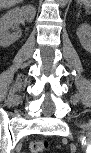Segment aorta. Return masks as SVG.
I'll use <instances>...</instances> for the list:
<instances>
[{
	"label": "aorta",
	"instance_id": "obj_1",
	"mask_svg": "<svg viewBox=\"0 0 91 153\" xmlns=\"http://www.w3.org/2000/svg\"><path fill=\"white\" fill-rule=\"evenodd\" d=\"M68 0H59V3L61 6H65L67 4Z\"/></svg>",
	"mask_w": 91,
	"mask_h": 153
}]
</instances>
